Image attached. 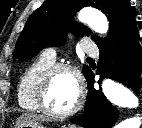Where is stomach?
<instances>
[{
    "instance_id": "obj_1",
    "label": "stomach",
    "mask_w": 142,
    "mask_h": 128,
    "mask_svg": "<svg viewBox=\"0 0 142 128\" xmlns=\"http://www.w3.org/2000/svg\"><path fill=\"white\" fill-rule=\"evenodd\" d=\"M44 128V126L34 119H24L20 122H17L15 128Z\"/></svg>"
}]
</instances>
